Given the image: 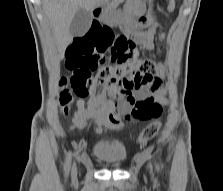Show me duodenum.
Returning <instances> with one entry per match:
<instances>
[{"label":"duodenum","instance_id":"410a0bca","mask_svg":"<svg viewBox=\"0 0 223 191\" xmlns=\"http://www.w3.org/2000/svg\"><path fill=\"white\" fill-rule=\"evenodd\" d=\"M104 12V8L102 6H96L93 9V17L98 18L100 17Z\"/></svg>","mask_w":223,"mask_h":191}]
</instances>
